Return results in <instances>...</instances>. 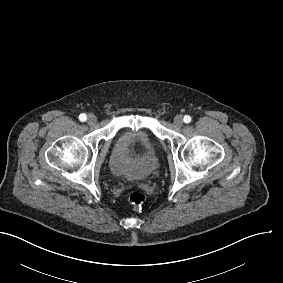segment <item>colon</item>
<instances>
[{
  "label": "colon",
  "instance_id": "1",
  "mask_svg": "<svg viewBox=\"0 0 283 283\" xmlns=\"http://www.w3.org/2000/svg\"><path fill=\"white\" fill-rule=\"evenodd\" d=\"M129 201L135 208H141L146 202V196L140 191H134L129 195Z\"/></svg>",
  "mask_w": 283,
  "mask_h": 283
}]
</instances>
